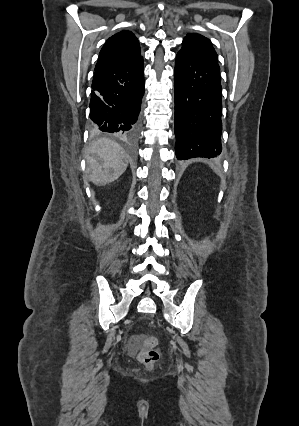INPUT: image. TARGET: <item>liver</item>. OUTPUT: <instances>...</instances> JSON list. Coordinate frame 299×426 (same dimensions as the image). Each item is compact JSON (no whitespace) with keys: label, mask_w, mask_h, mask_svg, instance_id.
<instances>
[{"label":"liver","mask_w":299,"mask_h":426,"mask_svg":"<svg viewBox=\"0 0 299 426\" xmlns=\"http://www.w3.org/2000/svg\"><path fill=\"white\" fill-rule=\"evenodd\" d=\"M86 162L87 178L99 186L117 180L128 166L122 147L108 138H100L90 144Z\"/></svg>","instance_id":"6515ba94"}]
</instances>
